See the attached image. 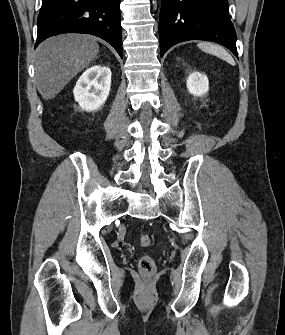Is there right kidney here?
<instances>
[{"instance_id":"obj_1","label":"right kidney","mask_w":285,"mask_h":335,"mask_svg":"<svg viewBox=\"0 0 285 335\" xmlns=\"http://www.w3.org/2000/svg\"><path fill=\"white\" fill-rule=\"evenodd\" d=\"M111 86V70L105 66H92L80 76L74 98L85 112H94L105 104Z\"/></svg>"}]
</instances>
